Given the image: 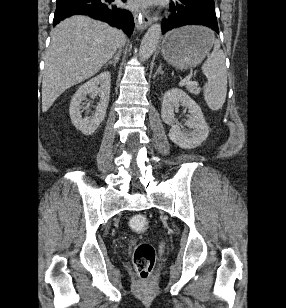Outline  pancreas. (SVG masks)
Here are the masks:
<instances>
[{"mask_svg": "<svg viewBox=\"0 0 286 308\" xmlns=\"http://www.w3.org/2000/svg\"><path fill=\"white\" fill-rule=\"evenodd\" d=\"M188 90L190 93L194 94V95H197L199 93V89L197 86L195 85H191L188 87Z\"/></svg>", "mask_w": 286, "mask_h": 308, "instance_id": "obj_1", "label": "pancreas"}]
</instances>
